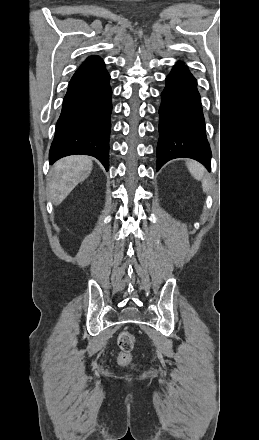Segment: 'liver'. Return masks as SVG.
I'll use <instances>...</instances> for the list:
<instances>
[{
	"label": "liver",
	"instance_id": "liver-1",
	"mask_svg": "<svg viewBox=\"0 0 259 440\" xmlns=\"http://www.w3.org/2000/svg\"><path fill=\"white\" fill-rule=\"evenodd\" d=\"M92 159L85 155H72L57 161L49 173V193L54 205L61 204L76 185L91 173Z\"/></svg>",
	"mask_w": 259,
	"mask_h": 440
}]
</instances>
